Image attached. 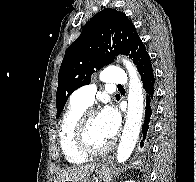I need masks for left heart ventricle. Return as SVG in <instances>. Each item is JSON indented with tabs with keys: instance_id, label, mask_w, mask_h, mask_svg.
<instances>
[{
	"instance_id": "b2bd125f",
	"label": "left heart ventricle",
	"mask_w": 196,
	"mask_h": 182,
	"mask_svg": "<svg viewBox=\"0 0 196 182\" xmlns=\"http://www.w3.org/2000/svg\"><path fill=\"white\" fill-rule=\"evenodd\" d=\"M85 140L92 149H100L109 143V139L104 135L98 121V115L89 118L85 130Z\"/></svg>"
}]
</instances>
